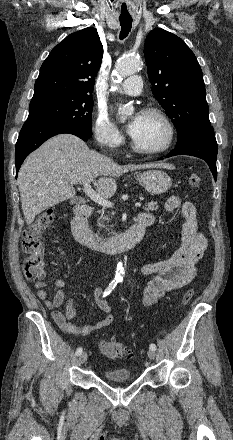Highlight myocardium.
I'll return each instance as SVG.
<instances>
[{
    "instance_id": "myocardium-1",
    "label": "myocardium",
    "mask_w": 233,
    "mask_h": 440,
    "mask_svg": "<svg viewBox=\"0 0 233 440\" xmlns=\"http://www.w3.org/2000/svg\"><path fill=\"white\" fill-rule=\"evenodd\" d=\"M141 114H150V115L158 116L167 127L168 137H167L165 144L162 147L157 148V149H145V148H142L141 146H139L136 143V141L133 139V137L131 136V142H130L131 148L139 154L149 155V156L159 155V154L166 152L172 146V144L175 140V127H174L171 119L163 110H161L159 108H155V107L145 108L141 111Z\"/></svg>"
}]
</instances>
